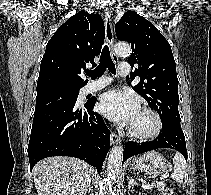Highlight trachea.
I'll return each instance as SVG.
<instances>
[{
    "instance_id": "obj_1",
    "label": "trachea",
    "mask_w": 211,
    "mask_h": 195,
    "mask_svg": "<svg viewBox=\"0 0 211 195\" xmlns=\"http://www.w3.org/2000/svg\"><path fill=\"white\" fill-rule=\"evenodd\" d=\"M107 68L111 73H116L115 64L111 59L109 48L105 45L100 56L99 65L96 69L87 72V75H89L91 79L95 80L97 77L101 76Z\"/></svg>"
}]
</instances>
